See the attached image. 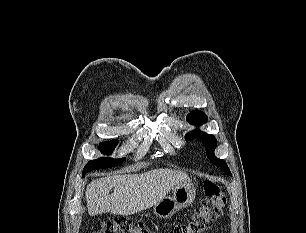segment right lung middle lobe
Here are the masks:
<instances>
[{
  "label": "right lung middle lobe",
  "mask_w": 306,
  "mask_h": 233,
  "mask_svg": "<svg viewBox=\"0 0 306 233\" xmlns=\"http://www.w3.org/2000/svg\"><path fill=\"white\" fill-rule=\"evenodd\" d=\"M117 140H112L109 142L100 143V151L104 154H110L114 150L117 145ZM125 158L122 159H111V158H99L96 160L89 161L82 172V176H84L88 171L95 170V169H106L110 167H114L120 163H122Z\"/></svg>",
  "instance_id": "1"
}]
</instances>
